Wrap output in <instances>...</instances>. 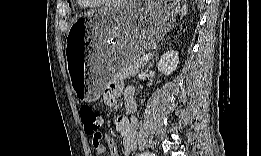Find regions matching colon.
Segmentation results:
<instances>
[{"label":"colon","mask_w":261,"mask_h":156,"mask_svg":"<svg viewBox=\"0 0 261 156\" xmlns=\"http://www.w3.org/2000/svg\"><path fill=\"white\" fill-rule=\"evenodd\" d=\"M81 122L86 134L93 139L94 145L99 142L102 115L99 110L90 105H82L79 110Z\"/></svg>","instance_id":"1"}]
</instances>
